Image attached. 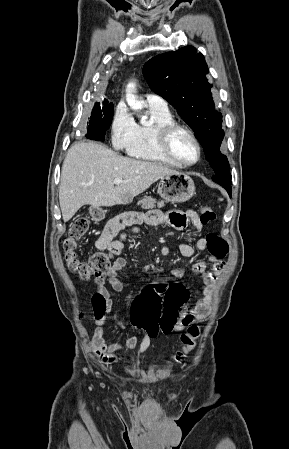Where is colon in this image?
I'll return each instance as SVG.
<instances>
[{"label":"colon","instance_id":"1","mask_svg":"<svg viewBox=\"0 0 289 449\" xmlns=\"http://www.w3.org/2000/svg\"><path fill=\"white\" fill-rule=\"evenodd\" d=\"M216 218L215 211L208 204L200 206V219L203 224L210 223ZM89 227V217L80 216L71 224L62 246L64 257L69 270L82 279L98 276L111 267L112 253L99 250L91 255L88 260H80L76 250L78 241L84 236ZM207 248L210 254L218 259H223L229 252L227 241L215 233L206 236ZM162 293L164 297H162ZM188 298V291L178 283H171L167 287L159 285L156 290H149L145 296H138L137 301L130 303L132 324L151 338L162 333L170 334L180 321L181 311ZM97 316L105 309V300L99 294L92 299ZM200 336V329L196 325H190L187 331L181 335L182 348L177 352V361L183 360L196 346Z\"/></svg>","mask_w":289,"mask_h":449}]
</instances>
